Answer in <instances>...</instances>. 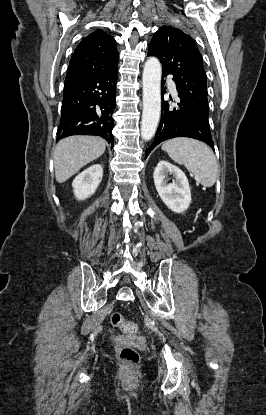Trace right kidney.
Here are the masks:
<instances>
[{
  "mask_svg": "<svg viewBox=\"0 0 266 415\" xmlns=\"http://www.w3.org/2000/svg\"><path fill=\"white\" fill-rule=\"evenodd\" d=\"M102 176L103 168L99 164L92 165L81 172L72 182L75 197L84 200L94 194Z\"/></svg>",
  "mask_w": 266,
  "mask_h": 415,
  "instance_id": "right-kidney-1",
  "label": "right kidney"
}]
</instances>
